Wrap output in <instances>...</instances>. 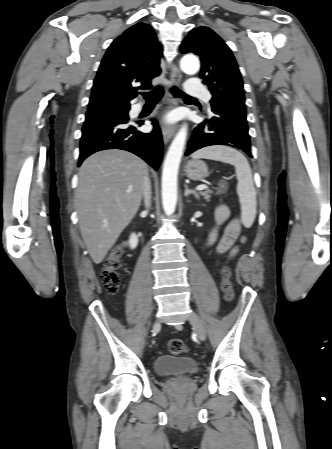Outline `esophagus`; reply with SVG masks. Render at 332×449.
Listing matches in <instances>:
<instances>
[{
	"label": "esophagus",
	"instance_id": "34e87169",
	"mask_svg": "<svg viewBox=\"0 0 332 449\" xmlns=\"http://www.w3.org/2000/svg\"><path fill=\"white\" fill-rule=\"evenodd\" d=\"M171 82L175 85H178L182 80V73L177 68L176 65H172L171 67ZM171 103L176 104V100L171 98ZM176 132V125H171L167 123L162 124V135L165 143H168L169 140L174 136Z\"/></svg>",
	"mask_w": 332,
	"mask_h": 449
}]
</instances>
